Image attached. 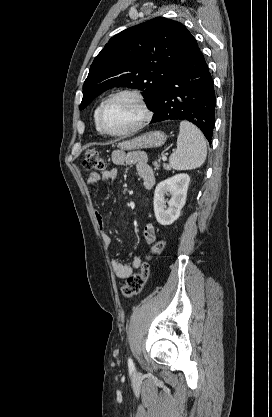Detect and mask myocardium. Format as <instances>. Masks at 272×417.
<instances>
[{
	"label": "myocardium",
	"instance_id": "1",
	"mask_svg": "<svg viewBox=\"0 0 272 417\" xmlns=\"http://www.w3.org/2000/svg\"><path fill=\"white\" fill-rule=\"evenodd\" d=\"M122 96H129V97L134 98L141 108L142 116L137 123H135L134 125H132L131 127L123 131L109 132L103 126L102 119H103L104 110L110 102ZM151 118H152V111L144 95L136 89H123V90H119L111 94L102 102L97 113V126H98L99 131L103 135H106L109 137H123V136L130 135L132 133H135L141 128H143L150 121Z\"/></svg>",
	"mask_w": 272,
	"mask_h": 417
}]
</instances>
